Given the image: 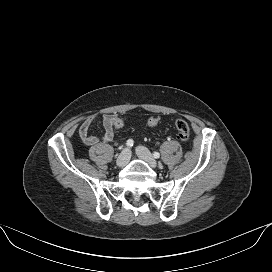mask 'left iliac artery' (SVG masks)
I'll return each mask as SVG.
<instances>
[{"mask_svg":"<svg viewBox=\"0 0 272 272\" xmlns=\"http://www.w3.org/2000/svg\"><path fill=\"white\" fill-rule=\"evenodd\" d=\"M153 156H154V158H159V157H160V154H159V152H154V153H153Z\"/></svg>","mask_w":272,"mask_h":272,"instance_id":"44dca946","label":"left iliac artery"}]
</instances>
